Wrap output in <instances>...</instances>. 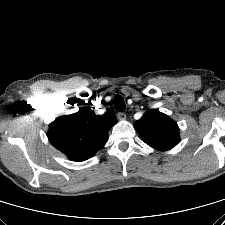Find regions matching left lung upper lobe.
Instances as JSON below:
<instances>
[{"instance_id":"1","label":"left lung upper lobe","mask_w":225,"mask_h":225,"mask_svg":"<svg viewBox=\"0 0 225 225\" xmlns=\"http://www.w3.org/2000/svg\"><path fill=\"white\" fill-rule=\"evenodd\" d=\"M135 127L141 139L159 151L169 150L180 141L177 123L159 110L147 111Z\"/></svg>"}]
</instances>
